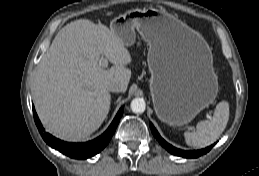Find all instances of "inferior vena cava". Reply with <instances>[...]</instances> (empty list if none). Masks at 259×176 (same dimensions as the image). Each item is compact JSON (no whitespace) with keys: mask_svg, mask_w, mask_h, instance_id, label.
I'll list each match as a JSON object with an SVG mask.
<instances>
[{"mask_svg":"<svg viewBox=\"0 0 259 176\" xmlns=\"http://www.w3.org/2000/svg\"><path fill=\"white\" fill-rule=\"evenodd\" d=\"M108 90L111 92H119L120 88H119L118 84L113 83L108 86Z\"/></svg>","mask_w":259,"mask_h":176,"instance_id":"inferior-vena-cava-1","label":"inferior vena cava"}]
</instances>
